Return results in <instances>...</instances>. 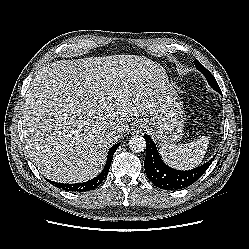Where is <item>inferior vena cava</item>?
<instances>
[{
	"label": "inferior vena cava",
	"instance_id": "inferior-vena-cava-1",
	"mask_svg": "<svg viewBox=\"0 0 249 249\" xmlns=\"http://www.w3.org/2000/svg\"><path fill=\"white\" fill-rule=\"evenodd\" d=\"M119 130H120V129H115V130L110 131V135H111L112 137H115V136L118 134Z\"/></svg>",
	"mask_w": 249,
	"mask_h": 249
}]
</instances>
